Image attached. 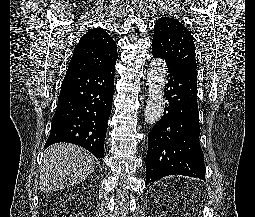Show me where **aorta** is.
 <instances>
[{
	"label": "aorta",
	"instance_id": "obj_1",
	"mask_svg": "<svg viewBox=\"0 0 255 217\" xmlns=\"http://www.w3.org/2000/svg\"><path fill=\"white\" fill-rule=\"evenodd\" d=\"M167 76L166 63L160 59L153 60L147 71L149 96L145 109V121L148 124L158 122L164 111V88Z\"/></svg>",
	"mask_w": 255,
	"mask_h": 217
}]
</instances>
